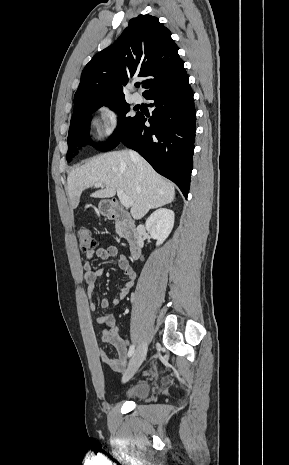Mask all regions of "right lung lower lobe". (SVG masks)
<instances>
[{
  "mask_svg": "<svg viewBox=\"0 0 289 465\" xmlns=\"http://www.w3.org/2000/svg\"><path fill=\"white\" fill-rule=\"evenodd\" d=\"M151 117L139 114L131 130L121 139L137 151L161 175L173 181L188 196L196 131L192 89L188 79L174 87L154 91ZM149 121L150 126L145 125Z\"/></svg>",
  "mask_w": 289,
  "mask_h": 465,
  "instance_id": "98d812e1",
  "label": "right lung lower lobe"
}]
</instances>
